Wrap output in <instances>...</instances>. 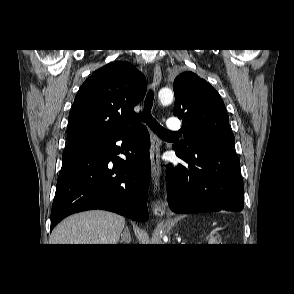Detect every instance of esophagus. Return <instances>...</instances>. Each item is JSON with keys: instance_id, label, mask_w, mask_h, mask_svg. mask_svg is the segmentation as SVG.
<instances>
[{"instance_id": "obj_1", "label": "esophagus", "mask_w": 294, "mask_h": 294, "mask_svg": "<svg viewBox=\"0 0 294 294\" xmlns=\"http://www.w3.org/2000/svg\"><path fill=\"white\" fill-rule=\"evenodd\" d=\"M162 79L161 67L159 64H155L153 70V84L152 88L155 90L158 88ZM160 144L158 138L154 133L151 132V176L154 182V186L157 188L159 186V180L161 175V165H160ZM163 203L157 202L153 207V212L155 215L161 216L164 213Z\"/></svg>"}]
</instances>
